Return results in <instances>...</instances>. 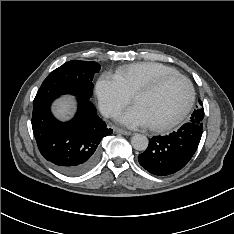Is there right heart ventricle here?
Masks as SVG:
<instances>
[{
	"label": "right heart ventricle",
	"instance_id": "obj_1",
	"mask_svg": "<svg viewBox=\"0 0 234 234\" xmlns=\"http://www.w3.org/2000/svg\"><path fill=\"white\" fill-rule=\"evenodd\" d=\"M170 74H178V72L172 67L156 62L133 63L119 67L115 72L130 95L140 87Z\"/></svg>",
	"mask_w": 234,
	"mask_h": 234
}]
</instances>
